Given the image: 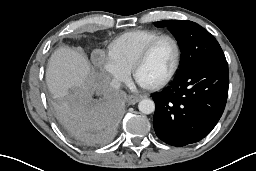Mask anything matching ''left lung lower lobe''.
Masks as SVG:
<instances>
[{
	"instance_id": "left-lung-lower-lobe-1",
	"label": "left lung lower lobe",
	"mask_w": 256,
	"mask_h": 171,
	"mask_svg": "<svg viewBox=\"0 0 256 171\" xmlns=\"http://www.w3.org/2000/svg\"><path fill=\"white\" fill-rule=\"evenodd\" d=\"M228 87L226 60L198 63L177 73L170 86L152 95L156 135L179 147L201 140L219 121Z\"/></svg>"
}]
</instances>
